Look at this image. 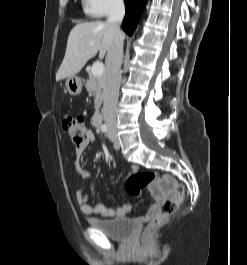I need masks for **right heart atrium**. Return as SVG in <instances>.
<instances>
[{
    "instance_id": "right-heart-atrium-1",
    "label": "right heart atrium",
    "mask_w": 247,
    "mask_h": 265,
    "mask_svg": "<svg viewBox=\"0 0 247 265\" xmlns=\"http://www.w3.org/2000/svg\"><path fill=\"white\" fill-rule=\"evenodd\" d=\"M84 11L92 17H104L119 11L123 0H82Z\"/></svg>"
}]
</instances>
